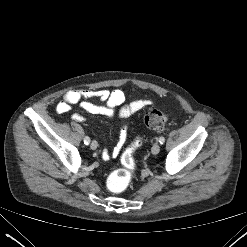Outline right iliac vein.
Instances as JSON below:
<instances>
[{"mask_svg":"<svg viewBox=\"0 0 247 247\" xmlns=\"http://www.w3.org/2000/svg\"><path fill=\"white\" fill-rule=\"evenodd\" d=\"M90 147L92 150H95L98 147V143L96 141H92Z\"/></svg>","mask_w":247,"mask_h":247,"instance_id":"63e3f726","label":"right iliac vein"}]
</instances>
